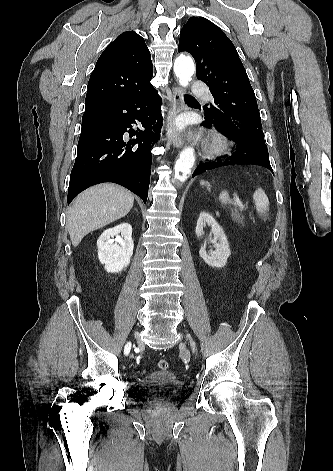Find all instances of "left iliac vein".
Returning <instances> with one entry per match:
<instances>
[{
	"label": "left iliac vein",
	"mask_w": 333,
	"mask_h": 471,
	"mask_svg": "<svg viewBox=\"0 0 333 471\" xmlns=\"http://www.w3.org/2000/svg\"><path fill=\"white\" fill-rule=\"evenodd\" d=\"M188 339L190 341V345H191L193 351H195V342L193 341V339L190 336H188Z\"/></svg>",
	"instance_id": "1"
}]
</instances>
